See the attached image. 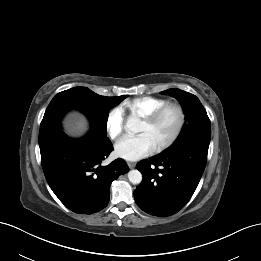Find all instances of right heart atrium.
<instances>
[{
    "mask_svg": "<svg viewBox=\"0 0 261 261\" xmlns=\"http://www.w3.org/2000/svg\"><path fill=\"white\" fill-rule=\"evenodd\" d=\"M125 127L124 111L120 107L112 108L106 115L105 129L111 139L121 135Z\"/></svg>",
    "mask_w": 261,
    "mask_h": 261,
    "instance_id": "obj_1",
    "label": "right heart atrium"
}]
</instances>
